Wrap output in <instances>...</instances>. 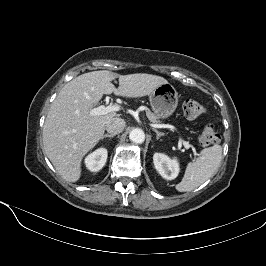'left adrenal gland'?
I'll return each instance as SVG.
<instances>
[{"instance_id": "1", "label": "left adrenal gland", "mask_w": 266, "mask_h": 266, "mask_svg": "<svg viewBox=\"0 0 266 266\" xmlns=\"http://www.w3.org/2000/svg\"><path fill=\"white\" fill-rule=\"evenodd\" d=\"M153 131L157 134V136H156L157 140H158L161 136H164V133L159 132L157 129H153Z\"/></svg>"}]
</instances>
